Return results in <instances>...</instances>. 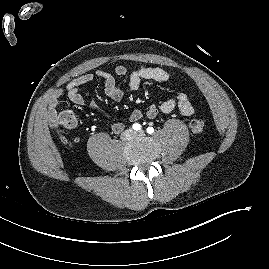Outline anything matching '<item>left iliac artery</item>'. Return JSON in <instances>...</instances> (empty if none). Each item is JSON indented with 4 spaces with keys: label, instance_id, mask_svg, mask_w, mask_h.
I'll use <instances>...</instances> for the list:
<instances>
[{
    "label": "left iliac artery",
    "instance_id": "1",
    "mask_svg": "<svg viewBox=\"0 0 269 269\" xmlns=\"http://www.w3.org/2000/svg\"><path fill=\"white\" fill-rule=\"evenodd\" d=\"M154 132V128L153 127H148L147 128V133L148 134H152Z\"/></svg>",
    "mask_w": 269,
    "mask_h": 269
}]
</instances>
